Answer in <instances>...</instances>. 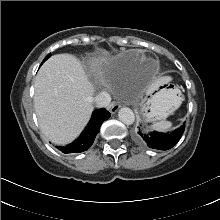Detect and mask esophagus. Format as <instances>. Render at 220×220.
I'll list each match as a JSON object with an SVG mask.
<instances>
[{
	"mask_svg": "<svg viewBox=\"0 0 220 220\" xmlns=\"http://www.w3.org/2000/svg\"><path fill=\"white\" fill-rule=\"evenodd\" d=\"M120 107H121V105L119 103H112V104H110V107H109L110 112L112 114H115L119 110Z\"/></svg>",
	"mask_w": 220,
	"mask_h": 220,
	"instance_id": "obj_1",
	"label": "esophagus"
}]
</instances>
